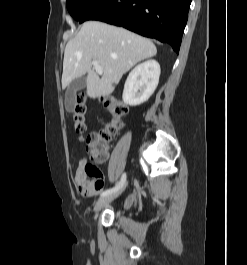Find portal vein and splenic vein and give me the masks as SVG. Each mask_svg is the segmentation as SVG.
Masks as SVG:
<instances>
[{"instance_id":"1","label":"portal vein and splenic vein","mask_w":247,"mask_h":265,"mask_svg":"<svg viewBox=\"0 0 247 265\" xmlns=\"http://www.w3.org/2000/svg\"><path fill=\"white\" fill-rule=\"evenodd\" d=\"M92 64H93V67H94V69L96 70V72H97L99 75H102V73H103V69H102V67L99 65V63H98L97 61H93Z\"/></svg>"}]
</instances>
